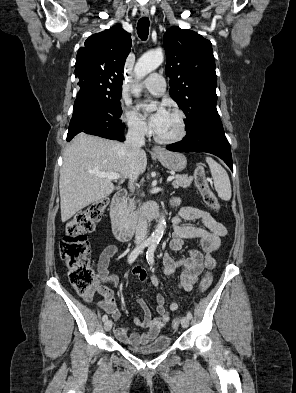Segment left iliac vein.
I'll list each match as a JSON object with an SVG mask.
<instances>
[{
  "mask_svg": "<svg viewBox=\"0 0 296 393\" xmlns=\"http://www.w3.org/2000/svg\"><path fill=\"white\" fill-rule=\"evenodd\" d=\"M181 325L183 328H187L189 326V318L188 317H183L181 320Z\"/></svg>",
  "mask_w": 296,
  "mask_h": 393,
  "instance_id": "4c4485c4",
  "label": "left iliac vein"
}]
</instances>
